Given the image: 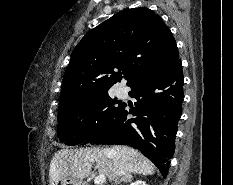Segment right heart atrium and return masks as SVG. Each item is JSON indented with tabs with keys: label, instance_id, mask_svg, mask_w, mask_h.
<instances>
[{
	"label": "right heart atrium",
	"instance_id": "1",
	"mask_svg": "<svg viewBox=\"0 0 233 185\" xmlns=\"http://www.w3.org/2000/svg\"><path fill=\"white\" fill-rule=\"evenodd\" d=\"M91 120H92V113L88 112L82 117L81 124L83 126H88L90 124Z\"/></svg>",
	"mask_w": 233,
	"mask_h": 185
}]
</instances>
